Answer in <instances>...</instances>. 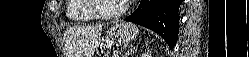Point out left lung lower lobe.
Listing matches in <instances>:
<instances>
[{"label": "left lung lower lobe", "mask_w": 249, "mask_h": 57, "mask_svg": "<svg viewBox=\"0 0 249 57\" xmlns=\"http://www.w3.org/2000/svg\"><path fill=\"white\" fill-rule=\"evenodd\" d=\"M183 0H141L125 21L145 26L164 38L174 48L179 30V7Z\"/></svg>", "instance_id": "0a47b994"}]
</instances>
